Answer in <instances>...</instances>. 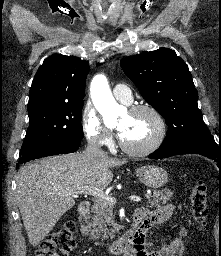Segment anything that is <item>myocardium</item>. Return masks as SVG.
<instances>
[{"label":"myocardium","mask_w":221,"mask_h":256,"mask_svg":"<svg viewBox=\"0 0 221 256\" xmlns=\"http://www.w3.org/2000/svg\"><path fill=\"white\" fill-rule=\"evenodd\" d=\"M139 112L149 113L155 120L157 132L151 142L144 146L134 147L126 144L123 139H120V147L123 151L133 155H147L157 150L164 142L167 135V123L161 112L151 104H136L129 108L130 114Z\"/></svg>","instance_id":"obj_1"}]
</instances>
